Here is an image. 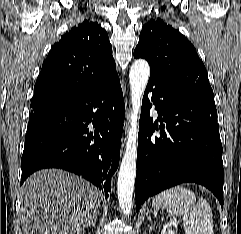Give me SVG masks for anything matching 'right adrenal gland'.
I'll use <instances>...</instances> for the list:
<instances>
[{"label": "right adrenal gland", "mask_w": 241, "mask_h": 234, "mask_svg": "<svg viewBox=\"0 0 241 234\" xmlns=\"http://www.w3.org/2000/svg\"><path fill=\"white\" fill-rule=\"evenodd\" d=\"M98 214H99V212H98ZM96 221H97V216L94 218V221L92 222V227H94L95 226V223H96Z\"/></svg>", "instance_id": "2a0ac1e0"}]
</instances>
